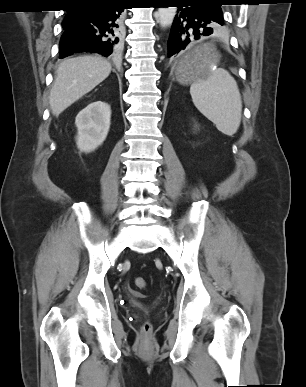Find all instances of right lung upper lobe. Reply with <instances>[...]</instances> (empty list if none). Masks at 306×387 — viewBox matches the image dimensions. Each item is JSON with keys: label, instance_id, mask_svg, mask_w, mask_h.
I'll return each instance as SVG.
<instances>
[{"label": "right lung upper lobe", "instance_id": "right-lung-upper-lobe-1", "mask_svg": "<svg viewBox=\"0 0 306 387\" xmlns=\"http://www.w3.org/2000/svg\"><path fill=\"white\" fill-rule=\"evenodd\" d=\"M107 1H110V0H68V4L70 6H81V5H88V4H100V3H103V2H107ZM69 12V10H68ZM66 18L68 19H73V17L68 13ZM72 25V24H70ZM70 25H67L65 27H68Z\"/></svg>", "mask_w": 306, "mask_h": 387}]
</instances>
